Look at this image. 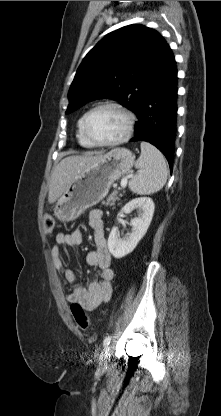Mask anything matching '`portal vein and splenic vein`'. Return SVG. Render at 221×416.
Masks as SVG:
<instances>
[{"mask_svg":"<svg viewBox=\"0 0 221 416\" xmlns=\"http://www.w3.org/2000/svg\"><path fill=\"white\" fill-rule=\"evenodd\" d=\"M126 185H127V178H123V179L121 180V186H122V188H125V187H126Z\"/></svg>","mask_w":221,"mask_h":416,"instance_id":"18ae733b","label":"portal vein and splenic vein"}]
</instances>
